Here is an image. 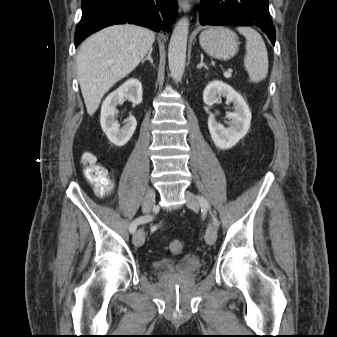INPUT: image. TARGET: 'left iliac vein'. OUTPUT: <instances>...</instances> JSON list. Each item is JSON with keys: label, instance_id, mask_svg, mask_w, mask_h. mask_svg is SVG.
<instances>
[{"label": "left iliac vein", "instance_id": "1", "mask_svg": "<svg viewBox=\"0 0 337 337\" xmlns=\"http://www.w3.org/2000/svg\"><path fill=\"white\" fill-rule=\"evenodd\" d=\"M186 197V205L193 209L198 210L201 206V202L198 197L190 191L185 192ZM217 239V230L215 224L212 222L209 224L206 234H205V241L208 245H213Z\"/></svg>", "mask_w": 337, "mask_h": 337}]
</instances>
